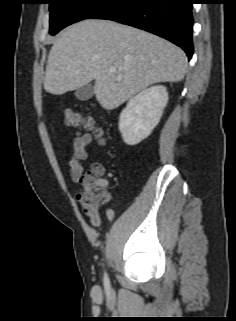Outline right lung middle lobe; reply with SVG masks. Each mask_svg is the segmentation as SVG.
Wrapping results in <instances>:
<instances>
[{
    "label": "right lung middle lobe",
    "instance_id": "1",
    "mask_svg": "<svg viewBox=\"0 0 236 321\" xmlns=\"http://www.w3.org/2000/svg\"><path fill=\"white\" fill-rule=\"evenodd\" d=\"M110 0H48L51 35L64 27L87 19L104 8Z\"/></svg>",
    "mask_w": 236,
    "mask_h": 321
}]
</instances>
